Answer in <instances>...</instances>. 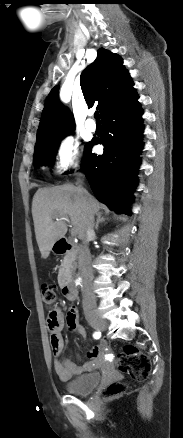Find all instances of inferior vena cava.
Here are the masks:
<instances>
[{"label": "inferior vena cava", "instance_id": "inferior-vena-cava-1", "mask_svg": "<svg viewBox=\"0 0 183 438\" xmlns=\"http://www.w3.org/2000/svg\"><path fill=\"white\" fill-rule=\"evenodd\" d=\"M81 191H86L78 187ZM94 214H90L87 223L85 234L82 237V246L78 253V264L84 279V296H83V308L84 310L92 309L96 307V299L91 290V283L93 280V271L91 267V255L88 247L89 241L95 236L94 232Z\"/></svg>", "mask_w": 183, "mask_h": 438}]
</instances>
